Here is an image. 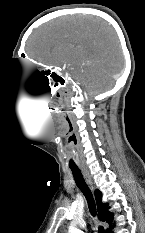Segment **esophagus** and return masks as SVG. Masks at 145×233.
<instances>
[{
  "label": "esophagus",
  "instance_id": "esophagus-1",
  "mask_svg": "<svg viewBox=\"0 0 145 233\" xmlns=\"http://www.w3.org/2000/svg\"><path fill=\"white\" fill-rule=\"evenodd\" d=\"M82 171H83V174H84L86 181L89 183L90 186H92V181H91V178L89 176V173L85 169H83Z\"/></svg>",
  "mask_w": 145,
  "mask_h": 233
}]
</instances>
